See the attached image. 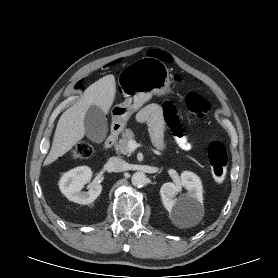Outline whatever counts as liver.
I'll return each instance as SVG.
<instances>
[{
  "mask_svg": "<svg viewBox=\"0 0 278 278\" xmlns=\"http://www.w3.org/2000/svg\"><path fill=\"white\" fill-rule=\"evenodd\" d=\"M115 94L116 83L112 74L106 75L90 85L81 99L61 115L55 130L51 150L44 161V165L53 163L84 137V118L88 108L91 105H96L105 114L108 113L114 102Z\"/></svg>",
  "mask_w": 278,
  "mask_h": 278,
  "instance_id": "1",
  "label": "liver"
}]
</instances>
